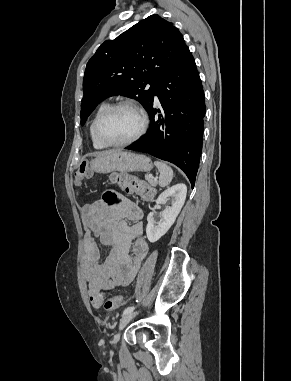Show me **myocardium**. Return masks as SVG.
I'll return each mask as SVG.
<instances>
[{
  "instance_id": "1",
  "label": "myocardium",
  "mask_w": 291,
  "mask_h": 381,
  "mask_svg": "<svg viewBox=\"0 0 291 381\" xmlns=\"http://www.w3.org/2000/svg\"><path fill=\"white\" fill-rule=\"evenodd\" d=\"M125 107L131 108L139 114L140 119H141L140 128L133 137H131L125 141H122V142L110 141L104 136V134L102 132V123L111 113H113L114 111H116L120 108H125ZM147 127H148V117H147V114L144 111V109L140 105L136 104L135 102L125 100V101H121V102H118L116 104L109 106L105 111H103L99 115V117L97 118V120L95 122V134H96L97 138L104 145H106L108 147H123V146H127V145H130V144L138 141L146 132Z\"/></svg>"
}]
</instances>
